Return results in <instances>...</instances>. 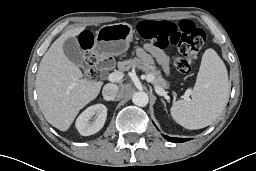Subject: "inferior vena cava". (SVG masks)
<instances>
[{
	"label": "inferior vena cava",
	"mask_w": 256,
	"mask_h": 171,
	"mask_svg": "<svg viewBox=\"0 0 256 171\" xmlns=\"http://www.w3.org/2000/svg\"><path fill=\"white\" fill-rule=\"evenodd\" d=\"M119 92V88L116 84H106L103 87L102 94L105 100H114Z\"/></svg>",
	"instance_id": "1"
}]
</instances>
